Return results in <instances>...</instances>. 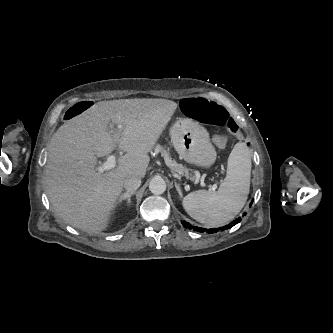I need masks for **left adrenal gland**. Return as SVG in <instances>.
<instances>
[{
    "label": "left adrenal gland",
    "mask_w": 333,
    "mask_h": 333,
    "mask_svg": "<svg viewBox=\"0 0 333 333\" xmlns=\"http://www.w3.org/2000/svg\"><path fill=\"white\" fill-rule=\"evenodd\" d=\"M175 187H176V190L178 191L179 195L182 196V192H181V189H180V185L175 183Z\"/></svg>",
    "instance_id": "a2214340"
}]
</instances>
